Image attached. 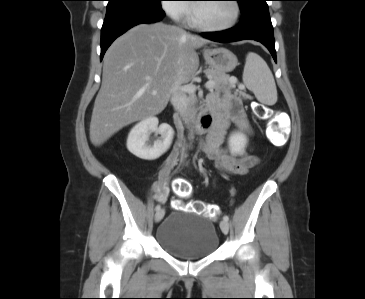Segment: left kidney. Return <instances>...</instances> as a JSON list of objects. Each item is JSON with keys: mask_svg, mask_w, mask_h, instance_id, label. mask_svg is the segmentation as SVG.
I'll use <instances>...</instances> for the list:
<instances>
[{"mask_svg": "<svg viewBox=\"0 0 365 299\" xmlns=\"http://www.w3.org/2000/svg\"><path fill=\"white\" fill-rule=\"evenodd\" d=\"M228 143L231 153L241 154L246 147L247 137L242 132H234L230 135Z\"/></svg>", "mask_w": 365, "mask_h": 299, "instance_id": "obj_1", "label": "left kidney"}]
</instances>
